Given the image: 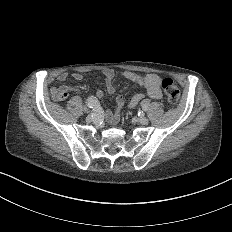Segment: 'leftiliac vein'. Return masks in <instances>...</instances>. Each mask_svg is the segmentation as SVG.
Returning <instances> with one entry per match:
<instances>
[{
	"instance_id": "left-iliac-vein-1",
	"label": "left iliac vein",
	"mask_w": 232,
	"mask_h": 232,
	"mask_svg": "<svg viewBox=\"0 0 232 232\" xmlns=\"http://www.w3.org/2000/svg\"><path fill=\"white\" fill-rule=\"evenodd\" d=\"M133 121L141 123L142 126H147L148 125V120L147 119H141V118L134 117Z\"/></svg>"
}]
</instances>
